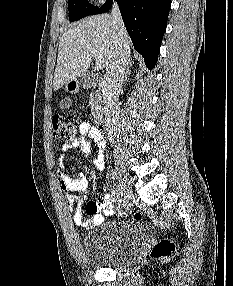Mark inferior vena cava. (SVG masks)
Here are the masks:
<instances>
[{"label": "inferior vena cava", "instance_id": "obj_1", "mask_svg": "<svg viewBox=\"0 0 233 286\" xmlns=\"http://www.w3.org/2000/svg\"><path fill=\"white\" fill-rule=\"evenodd\" d=\"M112 17L114 29L117 31L116 51L113 62L105 75L103 87V99L105 104L104 112L106 118L105 126L110 134L113 133L118 127V94L124 82L125 71L129 58V47L125 43L123 37L125 27L116 2H114L112 6Z\"/></svg>", "mask_w": 233, "mask_h": 286}]
</instances>
